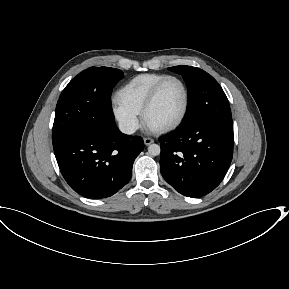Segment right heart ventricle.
Here are the masks:
<instances>
[{
    "label": "right heart ventricle",
    "instance_id": "obj_1",
    "mask_svg": "<svg viewBox=\"0 0 289 289\" xmlns=\"http://www.w3.org/2000/svg\"><path fill=\"white\" fill-rule=\"evenodd\" d=\"M166 76L168 75L161 73H144L133 77L118 90L116 95L118 102L140 114L153 86Z\"/></svg>",
    "mask_w": 289,
    "mask_h": 289
}]
</instances>
